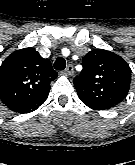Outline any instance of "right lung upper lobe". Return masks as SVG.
<instances>
[{"instance_id": "obj_1", "label": "right lung upper lobe", "mask_w": 135, "mask_h": 165, "mask_svg": "<svg viewBox=\"0 0 135 165\" xmlns=\"http://www.w3.org/2000/svg\"><path fill=\"white\" fill-rule=\"evenodd\" d=\"M56 77L51 62L35 49L17 50L0 66V98L14 112H32L45 102Z\"/></svg>"}]
</instances>
